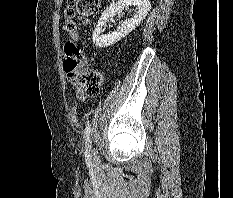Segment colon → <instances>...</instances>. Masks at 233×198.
<instances>
[{
	"label": "colon",
	"instance_id": "obj_1",
	"mask_svg": "<svg viewBox=\"0 0 233 198\" xmlns=\"http://www.w3.org/2000/svg\"><path fill=\"white\" fill-rule=\"evenodd\" d=\"M99 7V0H68L63 11V31L76 38L79 25L94 17ZM76 14L78 19L75 18ZM64 51V68L73 87L86 95L98 93L104 80L103 73L84 63L83 54L73 41L66 42Z\"/></svg>",
	"mask_w": 233,
	"mask_h": 198
}]
</instances>
